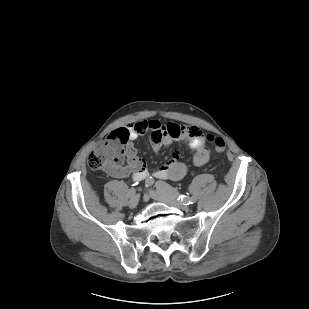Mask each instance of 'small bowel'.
<instances>
[{"mask_svg": "<svg viewBox=\"0 0 309 309\" xmlns=\"http://www.w3.org/2000/svg\"><path fill=\"white\" fill-rule=\"evenodd\" d=\"M117 131L126 136V165L110 171L116 178L132 176L133 180L141 181L149 176L146 161L137 155L134 147L135 140L142 134H149L155 151L173 141H185L193 152L191 163L194 167H202L209 160L210 152L205 145V136L196 126L186 127L176 122L163 125L158 120H140ZM187 171V164L180 160V152H176L170 161L154 170L152 175L158 179L177 181L182 179Z\"/></svg>", "mask_w": 309, "mask_h": 309, "instance_id": "1", "label": "small bowel"}]
</instances>
